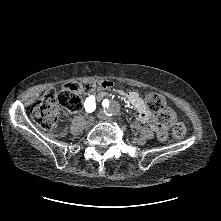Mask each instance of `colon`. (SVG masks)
<instances>
[{
	"label": "colon",
	"instance_id": "obj_1",
	"mask_svg": "<svg viewBox=\"0 0 221 221\" xmlns=\"http://www.w3.org/2000/svg\"><path fill=\"white\" fill-rule=\"evenodd\" d=\"M112 86V82L108 80L98 84L68 82L59 92L49 90L37 100L31 107V116L42 130L53 131L56 129L57 119L61 115V108L71 113H78L83 108L84 94L91 93L97 89L109 90ZM147 102L149 107L158 115L157 138L160 141H165L168 138V125L175 121H173V112L159 94H148ZM173 133L176 138L184 137L186 133L185 125L182 122H175Z\"/></svg>",
	"mask_w": 221,
	"mask_h": 221
}]
</instances>
